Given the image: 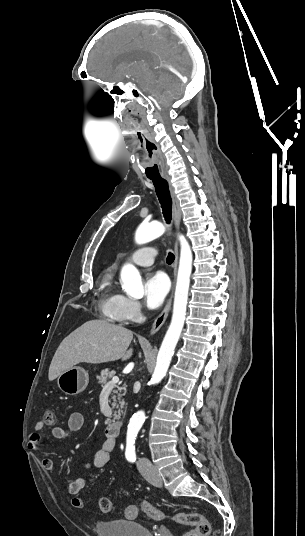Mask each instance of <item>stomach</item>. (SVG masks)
<instances>
[{"label": "stomach", "instance_id": "obj_1", "mask_svg": "<svg viewBox=\"0 0 305 536\" xmlns=\"http://www.w3.org/2000/svg\"><path fill=\"white\" fill-rule=\"evenodd\" d=\"M89 382V376L86 370L73 366L70 370L62 372L57 378L58 388L64 392L66 396H75L86 390Z\"/></svg>", "mask_w": 305, "mask_h": 536}]
</instances>
